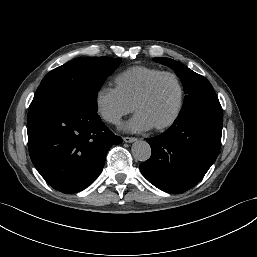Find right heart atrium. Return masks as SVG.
Masks as SVG:
<instances>
[{"mask_svg": "<svg viewBox=\"0 0 257 257\" xmlns=\"http://www.w3.org/2000/svg\"><path fill=\"white\" fill-rule=\"evenodd\" d=\"M95 102L100 116L112 124L118 123L133 108L116 87L107 85H103L97 90Z\"/></svg>", "mask_w": 257, "mask_h": 257, "instance_id": "d8ad5b80", "label": "right heart atrium"}]
</instances>
